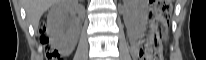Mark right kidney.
Wrapping results in <instances>:
<instances>
[{"instance_id": "right-kidney-1", "label": "right kidney", "mask_w": 206, "mask_h": 60, "mask_svg": "<svg viewBox=\"0 0 206 60\" xmlns=\"http://www.w3.org/2000/svg\"><path fill=\"white\" fill-rule=\"evenodd\" d=\"M76 4L64 0L55 4L48 13V31L54 44L61 50H71L77 41L78 30L67 23V12L73 11Z\"/></svg>"}]
</instances>
